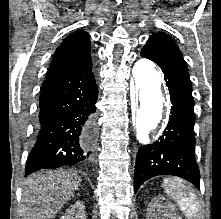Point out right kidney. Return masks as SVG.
<instances>
[{
  "label": "right kidney",
  "mask_w": 221,
  "mask_h": 219,
  "mask_svg": "<svg viewBox=\"0 0 221 219\" xmlns=\"http://www.w3.org/2000/svg\"><path fill=\"white\" fill-rule=\"evenodd\" d=\"M60 219H86L83 202L77 201L74 205H71Z\"/></svg>",
  "instance_id": "1"
}]
</instances>
